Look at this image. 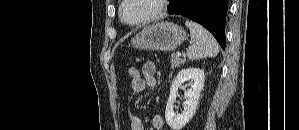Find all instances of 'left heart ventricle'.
Instances as JSON below:
<instances>
[{
	"label": "left heart ventricle",
	"instance_id": "1",
	"mask_svg": "<svg viewBox=\"0 0 299 130\" xmlns=\"http://www.w3.org/2000/svg\"><path fill=\"white\" fill-rule=\"evenodd\" d=\"M155 5L152 1H136L127 5L124 9V19L128 22H133L144 18L155 11Z\"/></svg>",
	"mask_w": 299,
	"mask_h": 130
}]
</instances>
